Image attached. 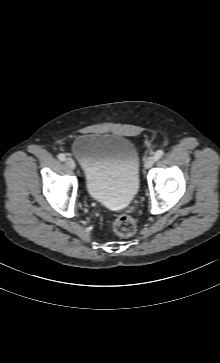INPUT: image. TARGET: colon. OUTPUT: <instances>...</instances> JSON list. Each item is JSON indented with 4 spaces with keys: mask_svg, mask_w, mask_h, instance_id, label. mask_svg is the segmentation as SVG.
<instances>
[{
    "mask_svg": "<svg viewBox=\"0 0 220 363\" xmlns=\"http://www.w3.org/2000/svg\"><path fill=\"white\" fill-rule=\"evenodd\" d=\"M107 224L122 237L132 236L136 231L135 220L125 214L115 215L107 221Z\"/></svg>",
    "mask_w": 220,
    "mask_h": 363,
    "instance_id": "5ec220e1",
    "label": "colon"
}]
</instances>
